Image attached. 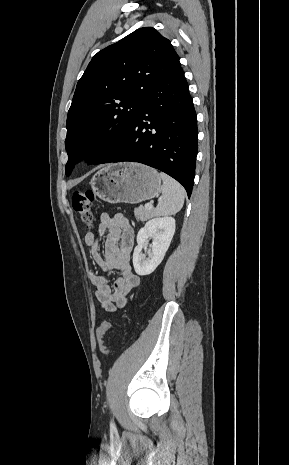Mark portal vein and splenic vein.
<instances>
[{
  "mask_svg": "<svg viewBox=\"0 0 289 465\" xmlns=\"http://www.w3.org/2000/svg\"><path fill=\"white\" fill-rule=\"evenodd\" d=\"M153 205L151 203L145 204V209H152Z\"/></svg>",
  "mask_w": 289,
  "mask_h": 465,
  "instance_id": "18ae733b",
  "label": "portal vein and splenic vein"
}]
</instances>
